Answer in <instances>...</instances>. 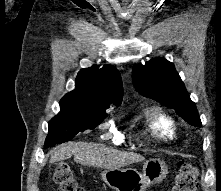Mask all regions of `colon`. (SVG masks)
Listing matches in <instances>:
<instances>
[{"label":"colon","instance_id":"5ec220e1","mask_svg":"<svg viewBox=\"0 0 221 191\" xmlns=\"http://www.w3.org/2000/svg\"><path fill=\"white\" fill-rule=\"evenodd\" d=\"M197 175L198 172L194 166L181 162L170 191H195ZM53 179L58 186V191H85L75 179L67 163H61L56 167Z\"/></svg>","mask_w":221,"mask_h":191}]
</instances>
